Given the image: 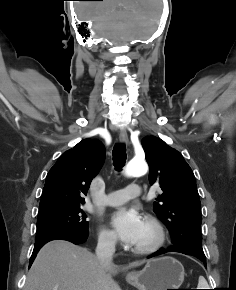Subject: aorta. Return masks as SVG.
<instances>
[{
    "label": "aorta",
    "instance_id": "1",
    "mask_svg": "<svg viewBox=\"0 0 236 290\" xmlns=\"http://www.w3.org/2000/svg\"><path fill=\"white\" fill-rule=\"evenodd\" d=\"M148 166L144 160H131L125 170L124 175L126 177H139L147 173Z\"/></svg>",
    "mask_w": 236,
    "mask_h": 290
}]
</instances>
